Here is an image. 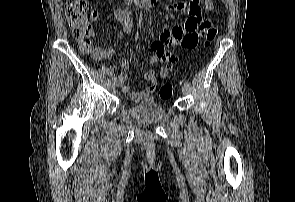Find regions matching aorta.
<instances>
[{
    "mask_svg": "<svg viewBox=\"0 0 295 202\" xmlns=\"http://www.w3.org/2000/svg\"><path fill=\"white\" fill-rule=\"evenodd\" d=\"M144 1V4H145V7L147 8V6L149 5L150 3V0H143Z\"/></svg>",
    "mask_w": 295,
    "mask_h": 202,
    "instance_id": "obj_1",
    "label": "aorta"
}]
</instances>
